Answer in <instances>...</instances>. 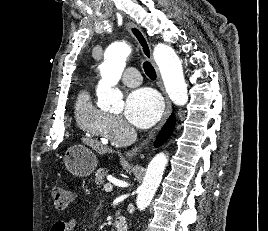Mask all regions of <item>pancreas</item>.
<instances>
[{"instance_id":"obj_1","label":"pancreas","mask_w":268,"mask_h":231,"mask_svg":"<svg viewBox=\"0 0 268 231\" xmlns=\"http://www.w3.org/2000/svg\"><path fill=\"white\" fill-rule=\"evenodd\" d=\"M107 173L108 172L103 168L97 170V172L95 173V181L97 185L101 186L104 184V177L106 176Z\"/></svg>"}]
</instances>
